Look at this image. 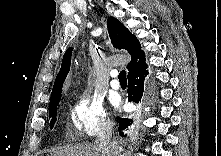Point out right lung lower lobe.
<instances>
[{
  "instance_id": "98d812e1",
  "label": "right lung lower lobe",
  "mask_w": 221,
  "mask_h": 156,
  "mask_svg": "<svg viewBox=\"0 0 221 156\" xmlns=\"http://www.w3.org/2000/svg\"><path fill=\"white\" fill-rule=\"evenodd\" d=\"M147 65L144 64L138 68L132 69L128 73V100L136 103L140 102L144 92L145 77L148 74L146 71ZM133 120L128 118H119V134L123 135L122 130L128 126H132Z\"/></svg>"
}]
</instances>
